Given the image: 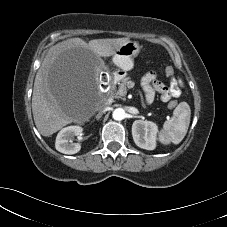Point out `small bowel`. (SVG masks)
Instances as JSON below:
<instances>
[{"mask_svg": "<svg viewBox=\"0 0 227 227\" xmlns=\"http://www.w3.org/2000/svg\"><path fill=\"white\" fill-rule=\"evenodd\" d=\"M141 85L147 103H151L154 100L156 92L160 94L161 100L164 102L169 101L172 97L181 95L182 82L177 77H173L169 85H165L157 80L156 73L149 72L142 78Z\"/></svg>", "mask_w": 227, "mask_h": 227, "instance_id": "1", "label": "small bowel"}]
</instances>
